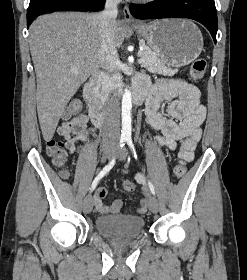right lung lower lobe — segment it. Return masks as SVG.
Returning <instances> with one entry per match:
<instances>
[{"label": "right lung lower lobe", "mask_w": 247, "mask_h": 280, "mask_svg": "<svg viewBox=\"0 0 247 280\" xmlns=\"http://www.w3.org/2000/svg\"><path fill=\"white\" fill-rule=\"evenodd\" d=\"M105 0H30L27 10V26L42 14L63 10L99 11Z\"/></svg>", "instance_id": "1"}]
</instances>
